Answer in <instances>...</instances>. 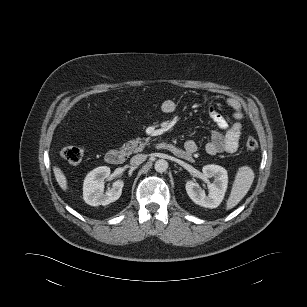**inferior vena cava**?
<instances>
[{
	"instance_id": "obj_1",
	"label": "inferior vena cava",
	"mask_w": 307,
	"mask_h": 307,
	"mask_svg": "<svg viewBox=\"0 0 307 307\" xmlns=\"http://www.w3.org/2000/svg\"><path fill=\"white\" fill-rule=\"evenodd\" d=\"M147 158V155L145 154H137L135 156H133L130 160V164L132 166H137L140 165L141 163H143Z\"/></svg>"
}]
</instances>
